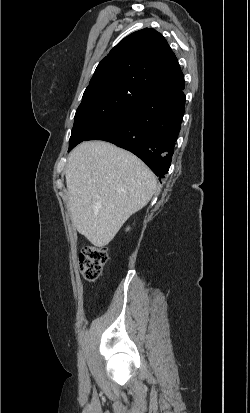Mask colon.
<instances>
[{
    "label": "colon",
    "instance_id": "obj_1",
    "mask_svg": "<svg viewBox=\"0 0 250 413\" xmlns=\"http://www.w3.org/2000/svg\"><path fill=\"white\" fill-rule=\"evenodd\" d=\"M108 259L107 249L93 245L85 246L79 255V268L88 281L97 280L103 273Z\"/></svg>",
    "mask_w": 250,
    "mask_h": 413
}]
</instances>
